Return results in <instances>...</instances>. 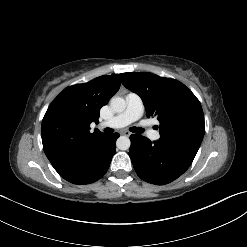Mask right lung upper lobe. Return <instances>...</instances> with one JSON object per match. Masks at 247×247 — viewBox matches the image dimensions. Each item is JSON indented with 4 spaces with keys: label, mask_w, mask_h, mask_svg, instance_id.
I'll use <instances>...</instances> for the list:
<instances>
[{
    "label": "right lung upper lobe",
    "mask_w": 247,
    "mask_h": 247,
    "mask_svg": "<svg viewBox=\"0 0 247 247\" xmlns=\"http://www.w3.org/2000/svg\"><path fill=\"white\" fill-rule=\"evenodd\" d=\"M118 74L97 77L64 89L48 107L42 121V143L50 162L75 155L103 135L90 132L100 109L120 88Z\"/></svg>",
    "instance_id": "cb5924a9"
}]
</instances>
